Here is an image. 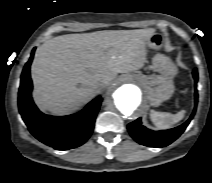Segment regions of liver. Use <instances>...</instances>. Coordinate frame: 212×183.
Listing matches in <instances>:
<instances>
[{
	"instance_id": "1",
	"label": "liver",
	"mask_w": 212,
	"mask_h": 183,
	"mask_svg": "<svg viewBox=\"0 0 212 183\" xmlns=\"http://www.w3.org/2000/svg\"><path fill=\"white\" fill-rule=\"evenodd\" d=\"M154 29L62 35L44 42L31 66L33 97L42 111L63 115L78 109L111 84L118 73L141 69Z\"/></svg>"
}]
</instances>
